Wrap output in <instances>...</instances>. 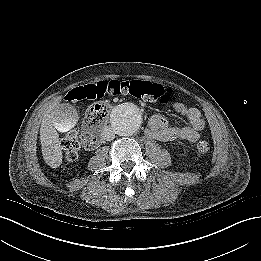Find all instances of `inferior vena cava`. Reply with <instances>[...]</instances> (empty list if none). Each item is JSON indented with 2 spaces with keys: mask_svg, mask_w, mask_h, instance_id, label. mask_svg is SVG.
Here are the masks:
<instances>
[{
  "mask_svg": "<svg viewBox=\"0 0 261 261\" xmlns=\"http://www.w3.org/2000/svg\"><path fill=\"white\" fill-rule=\"evenodd\" d=\"M102 137L106 141H112L115 138V133L111 127L107 126L102 131Z\"/></svg>",
  "mask_w": 261,
  "mask_h": 261,
  "instance_id": "602c4592",
  "label": "inferior vena cava"
}]
</instances>
